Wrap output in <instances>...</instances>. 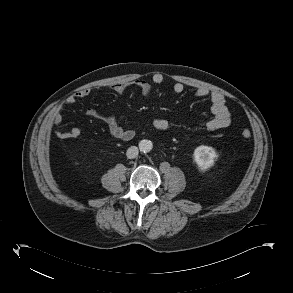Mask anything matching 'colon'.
Returning <instances> with one entry per match:
<instances>
[{
  "mask_svg": "<svg viewBox=\"0 0 293 293\" xmlns=\"http://www.w3.org/2000/svg\"><path fill=\"white\" fill-rule=\"evenodd\" d=\"M242 136H243L244 139H249V138L251 137V132H250V130H248V129H244V130L242 131Z\"/></svg>",
  "mask_w": 293,
  "mask_h": 293,
  "instance_id": "obj_1",
  "label": "colon"
}]
</instances>
